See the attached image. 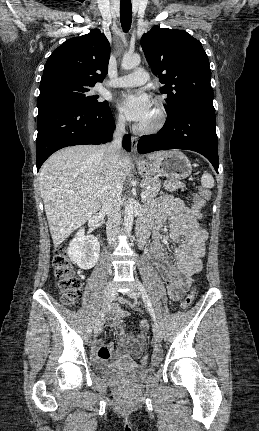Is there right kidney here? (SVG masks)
Masks as SVG:
<instances>
[{
  "label": "right kidney",
  "mask_w": 259,
  "mask_h": 431,
  "mask_svg": "<svg viewBox=\"0 0 259 431\" xmlns=\"http://www.w3.org/2000/svg\"><path fill=\"white\" fill-rule=\"evenodd\" d=\"M100 244L95 236H85V231L81 228L70 242L68 256L81 269H91L99 259Z\"/></svg>",
  "instance_id": "1"
}]
</instances>
